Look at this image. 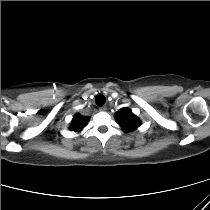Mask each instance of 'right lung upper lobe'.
I'll use <instances>...</instances> for the list:
<instances>
[{
    "label": "right lung upper lobe",
    "mask_w": 210,
    "mask_h": 210,
    "mask_svg": "<svg viewBox=\"0 0 210 210\" xmlns=\"http://www.w3.org/2000/svg\"><path fill=\"white\" fill-rule=\"evenodd\" d=\"M86 120L87 119L85 117L80 116L79 114L75 115L72 119L70 129L74 131L82 130L83 127H85Z\"/></svg>",
    "instance_id": "1"
}]
</instances>
